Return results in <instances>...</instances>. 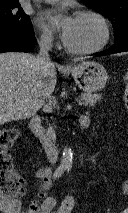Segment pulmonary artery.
I'll return each mask as SVG.
<instances>
[{
    "label": "pulmonary artery",
    "instance_id": "e3ab8cb5",
    "mask_svg": "<svg viewBox=\"0 0 128 213\" xmlns=\"http://www.w3.org/2000/svg\"><path fill=\"white\" fill-rule=\"evenodd\" d=\"M45 2H55V1H58V0H43Z\"/></svg>",
    "mask_w": 128,
    "mask_h": 213
}]
</instances>
